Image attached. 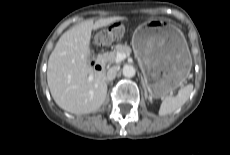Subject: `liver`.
<instances>
[{"label": "liver", "instance_id": "obj_1", "mask_svg": "<svg viewBox=\"0 0 230 155\" xmlns=\"http://www.w3.org/2000/svg\"><path fill=\"white\" fill-rule=\"evenodd\" d=\"M125 19L121 16L81 22L66 31L52 51L47 67V82L56 104L74 114L97 111L107 94L105 77L94 73L87 58L92 30Z\"/></svg>", "mask_w": 230, "mask_h": 155}]
</instances>
